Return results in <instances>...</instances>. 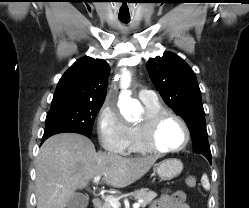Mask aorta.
I'll use <instances>...</instances> for the list:
<instances>
[{"instance_id":"aorta-1","label":"aorta","mask_w":249,"mask_h":208,"mask_svg":"<svg viewBox=\"0 0 249 208\" xmlns=\"http://www.w3.org/2000/svg\"><path fill=\"white\" fill-rule=\"evenodd\" d=\"M129 91H123L120 95L118 106L122 116L127 120L131 121L134 118L140 116L142 107L138 100L130 97Z\"/></svg>"}]
</instances>
